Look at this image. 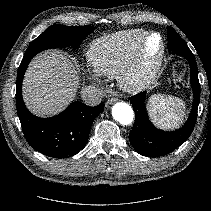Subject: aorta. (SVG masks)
Segmentation results:
<instances>
[{
	"label": "aorta",
	"mask_w": 211,
	"mask_h": 211,
	"mask_svg": "<svg viewBox=\"0 0 211 211\" xmlns=\"http://www.w3.org/2000/svg\"><path fill=\"white\" fill-rule=\"evenodd\" d=\"M112 116L122 125H129L134 119V112L130 105L118 102L112 108Z\"/></svg>",
	"instance_id": "aorta-1"
}]
</instances>
